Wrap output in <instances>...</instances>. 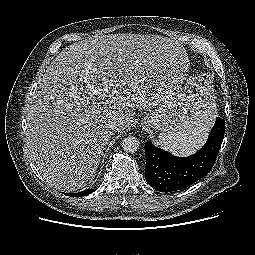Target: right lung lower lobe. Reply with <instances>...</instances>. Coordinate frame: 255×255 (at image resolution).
<instances>
[{
	"label": "right lung lower lobe",
	"instance_id": "obj_1",
	"mask_svg": "<svg viewBox=\"0 0 255 255\" xmlns=\"http://www.w3.org/2000/svg\"><path fill=\"white\" fill-rule=\"evenodd\" d=\"M96 189H87V190H84V191H81V192H78V193H71V194H68L69 196L71 197H81V196H86L92 192H94Z\"/></svg>",
	"mask_w": 255,
	"mask_h": 255
}]
</instances>
